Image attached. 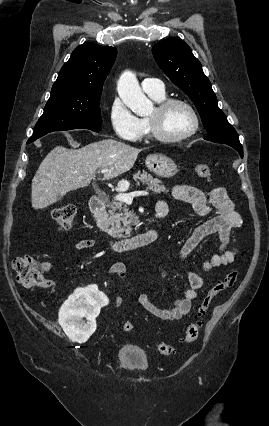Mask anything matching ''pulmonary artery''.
<instances>
[{
  "label": "pulmonary artery",
  "mask_w": 269,
  "mask_h": 426,
  "mask_svg": "<svg viewBox=\"0 0 269 426\" xmlns=\"http://www.w3.org/2000/svg\"><path fill=\"white\" fill-rule=\"evenodd\" d=\"M142 89L150 96L165 95L164 84L162 81L154 78H146L141 82Z\"/></svg>",
  "instance_id": "1"
}]
</instances>
